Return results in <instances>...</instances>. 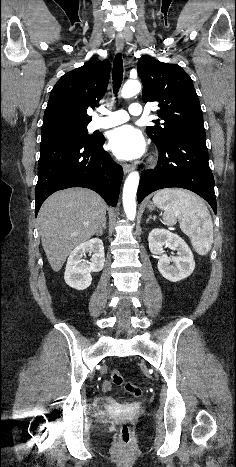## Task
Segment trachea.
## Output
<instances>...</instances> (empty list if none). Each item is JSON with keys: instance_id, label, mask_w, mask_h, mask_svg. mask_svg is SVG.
<instances>
[{"instance_id": "3493384b", "label": "trachea", "mask_w": 236, "mask_h": 467, "mask_svg": "<svg viewBox=\"0 0 236 467\" xmlns=\"http://www.w3.org/2000/svg\"><path fill=\"white\" fill-rule=\"evenodd\" d=\"M113 92L117 95L123 80V60L122 55L118 53L113 62Z\"/></svg>"}]
</instances>
